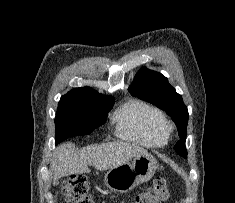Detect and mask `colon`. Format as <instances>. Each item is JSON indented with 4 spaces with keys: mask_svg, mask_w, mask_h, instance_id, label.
I'll use <instances>...</instances> for the list:
<instances>
[{
    "mask_svg": "<svg viewBox=\"0 0 235 203\" xmlns=\"http://www.w3.org/2000/svg\"><path fill=\"white\" fill-rule=\"evenodd\" d=\"M61 190L68 203H94L88 181L82 175L69 176ZM167 198V181L159 177L151 186L136 194L130 203H162Z\"/></svg>",
    "mask_w": 235,
    "mask_h": 203,
    "instance_id": "5ec220e1",
    "label": "colon"
}]
</instances>
